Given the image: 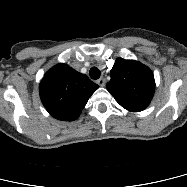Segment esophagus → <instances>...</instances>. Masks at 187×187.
Instances as JSON below:
<instances>
[{"instance_id": "esophagus-1", "label": "esophagus", "mask_w": 187, "mask_h": 187, "mask_svg": "<svg viewBox=\"0 0 187 187\" xmlns=\"http://www.w3.org/2000/svg\"><path fill=\"white\" fill-rule=\"evenodd\" d=\"M96 83H97L99 86L103 87V86L105 85V80H104V78H100V79H98V80L96 81Z\"/></svg>"}]
</instances>
